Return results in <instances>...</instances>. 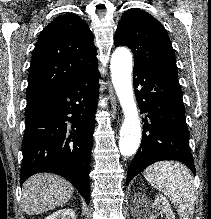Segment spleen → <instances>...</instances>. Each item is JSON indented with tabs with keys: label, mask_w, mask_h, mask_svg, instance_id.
Instances as JSON below:
<instances>
[{
	"label": "spleen",
	"mask_w": 211,
	"mask_h": 219,
	"mask_svg": "<svg viewBox=\"0 0 211 219\" xmlns=\"http://www.w3.org/2000/svg\"><path fill=\"white\" fill-rule=\"evenodd\" d=\"M146 180L174 204L180 219H192L195 187L190 171L178 162H158L144 171Z\"/></svg>",
	"instance_id": "obj_1"
}]
</instances>
